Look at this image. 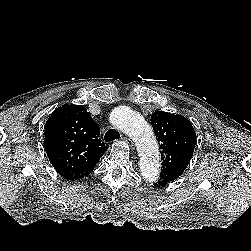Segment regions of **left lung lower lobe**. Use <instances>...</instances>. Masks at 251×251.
Returning a JSON list of instances; mask_svg holds the SVG:
<instances>
[{
	"label": "left lung lower lobe",
	"mask_w": 251,
	"mask_h": 251,
	"mask_svg": "<svg viewBox=\"0 0 251 251\" xmlns=\"http://www.w3.org/2000/svg\"><path fill=\"white\" fill-rule=\"evenodd\" d=\"M165 185H166V183L163 181H160V180H158V182L155 183V186H165Z\"/></svg>",
	"instance_id": "left-lung-lower-lobe-1"
}]
</instances>
